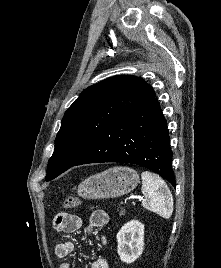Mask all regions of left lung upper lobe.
I'll use <instances>...</instances> for the list:
<instances>
[{"label":"left lung upper lobe","mask_w":221,"mask_h":268,"mask_svg":"<svg viewBox=\"0 0 221 268\" xmlns=\"http://www.w3.org/2000/svg\"><path fill=\"white\" fill-rule=\"evenodd\" d=\"M154 96L143 79L131 75L110 77L85 89L62 119L46 181L73 166L117 118Z\"/></svg>","instance_id":"left-lung-upper-lobe-1"}]
</instances>
